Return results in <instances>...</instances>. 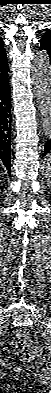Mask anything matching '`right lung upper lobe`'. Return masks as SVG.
Listing matches in <instances>:
<instances>
[{"label":"right lung upper lobe","instance_id":"cb5924a9","mask_svg":"<svg viewBox=\"0 0 51 393\" xmlns=\"http://www.w3.org/2000/svg\"><path fill=\"white\" fill-rule=\"evenodd\" d=\"M8 70L7 55L4 50V42L0 37V73Z\"/></svg>","mask_w":51,"mask_h":393}]
</instances>
